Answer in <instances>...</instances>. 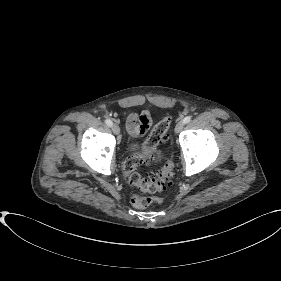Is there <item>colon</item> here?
Masks as SVG:
<instances>
[{"label": "colon", "instance_id": "5ec220e1", "mask_svg": "<svg viewBox=\"0 0 281 281\" xmlns=\"http://www.w3.org/2000/svg\"><path fill=\"white\" fill-rule=\"evenodd\" d=\"M170 124V117L160 121L147 137L142 151L127 157L123 163V171L129 183L144 193L132 195L131 203L136 208H146L153 202H160L161 198L151 195L165 191L172 184L174 166L170 161L166 162L155 175L149 178L143 177L138 172L140 165L155 157L159 145L167 139Z\"/></svg>", "mask_w": 281, "mask_h": 281}]
</instances>
